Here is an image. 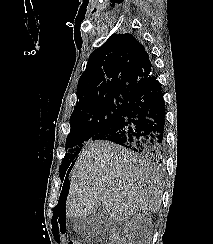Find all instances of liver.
Returning a JSON list of instances; mask_svg holds the SVG:
<instances>
[{
  "label": "liver",
  "instance_id": "1",
  "mask_svg": "<svg viewBox=\"0 0 213 244\" xmlns=\"http://www.w3.org/2000/svg\"><path fill=\"white\" fill-rule=\"evenodd\" d=\"M161 194L160 176L148 161L108 141L89 142L71 174L66 216L85 217L102 206L112 221H123L141 209L156 213Z\"/></svg>",
  "mask_w": 213,
  "mask_h": 244
}]
</instances>
